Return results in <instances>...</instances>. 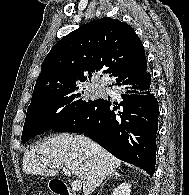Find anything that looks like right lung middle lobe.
Masks as SVG:
<instances>
[{"label":"right lung middle lobe","instance_id":"1","mask_svg":"<svg viewBox=\"0 0 189 195\" xmlns=\"http://www.w3.org/2000/svg\"><path fill=\"white\" fill-rule=\"evenodd\" d=\"M93 101L85 97L79 86L61 89L32 101L26 114L22 142L54 129Z\"/></svg>","mask_w":189,"mask_h":195}]
</instances>
